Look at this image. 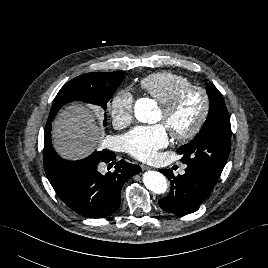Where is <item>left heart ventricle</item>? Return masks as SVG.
<instances>
[{"label": "left heart ventricle", "mask_w": 268, "mask_h": 268, "mask_svg": "<svg viewBox=\"0 0 268 268\" xmlns=\"http://www.w3.org/2000/svg\"><path fill=\"white\" fill-rule=\"evenodd\" d=\"M202 97L198 92L187 93L172 116L165 118L159 110L156 122H161L170 133L181 134L188 131L202 111Z\"/></svg>", "instance_id": "1"}]
</instances>
